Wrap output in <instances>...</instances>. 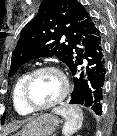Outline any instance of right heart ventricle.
<instances>
[{"instance_id": "1", "label": "right heart ventricle", "mask_w": 117, "mask_h": 136, "mask_svg": "<svg viewBox=\"0 0 117 136\" xmlns=\"http://www.w3.org/2000/svg\"><path fill=\"white\" fill-rule=\"evenodd\" d=\"M29 72L22 73L15 81L12 89V103L15 111L22 116H26L32 113L23 102L22 93L23 86Z\"/></svg>"}]
</instances>
